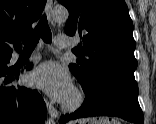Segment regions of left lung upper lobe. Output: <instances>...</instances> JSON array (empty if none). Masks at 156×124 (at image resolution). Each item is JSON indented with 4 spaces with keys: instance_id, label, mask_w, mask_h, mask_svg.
Instances as JSON below:
<instances>
[{
    "instance_id": "left-lung-upper-lobe-1",
    "label": "left lung upper lobe",
    "mask_w": 156,
    "mask_h": 124,
    "mask_svg": "<svg viewBox=\"0 0 156 124\" xmlns=\"http://www.w3.org/2000/svg\"><path fill=\"white\" fill-rule=\"evenodd\" d=\"M69 11L65 32L79 35V59L69 65L84 91L107 78L137 85L134 71L136 43L124 0H58Z\"/></svg>"
}]
</instances>
